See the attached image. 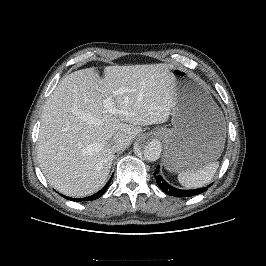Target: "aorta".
Returning <instances> with one entry per match:
<instances>
[{
  "label": "aorta",
  "mask_w": 266,
  "mask_h": 266,
  "mask_svg": "<svg viewBox=\"0 0 266 266\" xmlns=\"http://www.w3.org/2000/svg\"><path fill=\"white\" fill-rule=\"evenodd\" d=\"M135 151L143 154L148 161H157L161 155L162 144L158 139L144 136L137 142Z\"/></svg>",
  "instance_id": "1"
}]
</instances>
